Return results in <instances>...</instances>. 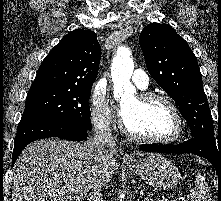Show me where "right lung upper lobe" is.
<instances>
[{
    "instance_id": "1",
    "label": "right lung upper lobe",
    "mask_w": 221,
    "mask_h": 201,
    "mask_svg": "<svg viewBox=\"0 0 221 201\" xmlns=\"http://www.w3.org/2000/svg\"><path fill=\"white\" fill-rule=\"evenodd\" d=\"M100 57L101 46L96 33L72 31L45 57L31 88L91 89Z\"/></svg>"
}]
</instances>
